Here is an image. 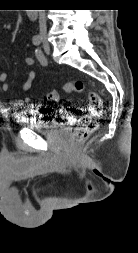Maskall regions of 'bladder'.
<instances>
[{
	"mask_svg": "<svg viewBox=\"0 0 138 253\" xmlns=\"http://www.w3.org/2000/svg\"><path fill=\"white\" fill-rule=\"evenodd\" d=\"M37 111V106H33L30 110H23L18 113L19 123L35 132L49 133L53 129L60 127V124L47 119L50 111L44 112V107H40Z\"/></svg>",
	"mask_w": 138,
	"mask_h": 253,
	"instance_id": "obj_1",
	"label": "bladder"
}]
</instances>
